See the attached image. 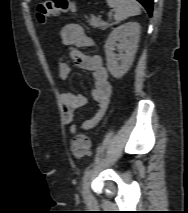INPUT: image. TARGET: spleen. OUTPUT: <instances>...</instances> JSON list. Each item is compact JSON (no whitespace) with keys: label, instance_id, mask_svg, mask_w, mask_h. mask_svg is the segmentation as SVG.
<instances>
[{"label":"spleen","instance_id":"spleen-1","mask_svg":"<svg viewBox=\"0 0 188 213\" xmlns=\"http://www.w3.org/2000/svg\"><path fill=\"white\" fill-rule=\"evenodd\" d=\"M109 7L115 9L114 18L116 21H122L130 16L141 13L140 5L136 0H106Z\"/></svg>","mask_w":188,"mask_h":213}]
</instances>
